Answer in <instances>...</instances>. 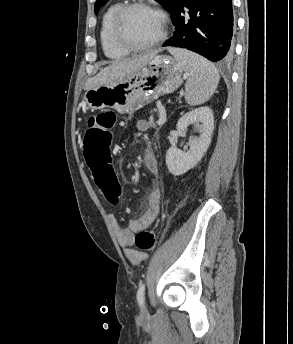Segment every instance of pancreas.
Returning <instances> with one entry per match:
<instances>
[{"label": "pancreas", "mask_w": 293, "mask_h": 344, "mask_svg": "<svg viewBox=\"0 0 293 344\" xmlns=\"http://www.w3.org/2000/svg\"><path fill=\"white\" fill-rule=\"evenodd\" d=\"M147 125L148 127H155V123L152 120H150V122Z\"/></svg>", "instance_id": "cf45deb5"}]
</instances>
